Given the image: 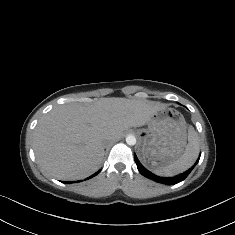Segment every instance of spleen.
Wrapping results in <instances>:
<instances>
[{
	"label": "spleen",
	"instance_id": "1",
	"mask_svg": "<svg viewBox=\"0 0 235 235\" xmlns=\"http://www.w3.org/2000/svg\"><path fill=\"white\" fill-rule=\"evenodd\" d=\"M199 155L198 135L193 126L188 128V144L184 153L176 160L153 169V172L162 177H172L183 173L193 166Z\"/></svg>",
	"mask_w": 235,
	"mask_h": 235
}]
</instances>
